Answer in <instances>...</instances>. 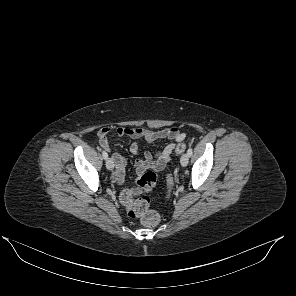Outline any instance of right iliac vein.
<instances>
[{
	"mask_svg": "<svg viewBox=\"0 0 296 296\" xmlns=\"http://www.w3.org/2000/svg\"><path fill=\"white\" fill-rule=\"evenodd\" d=\"M106 167L108 170H113L114 169V163L113 160L111 158H108L106 160Z\"/></svg>",
	"mask_w": 296,
	"mask_h": 296,
	"instance_id": "right-iliac-vein-1",
	"label": "right iliac vein"
}]
</instances>
